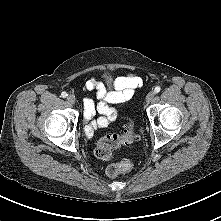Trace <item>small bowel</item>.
Listing matches in <instances>:
<instances>
[{
	"label": "small bowel",
	"mask_w": 221,
	"mask_h": 221,
	"mask_svg": "<svg viewBox=\"0 0 221 221\" xmlns=\"http://www.w3.org/2000/svg\"><path fill=\"white\" fill-rule=\"evenodd\" d=\"M141 84V78L134 73L115 77L111 81V87H107L106 84L97 81L95 78L87 80L85 88L88 91H94L99 100L97 103L90 98H86L84 101V117L87 122L85 133L87 137L92 138L96 129L106 127L114 121L116 110L112 105L131 99ZM97 112L101 116L95 118Z\"/></svg>",
	"instance_id": "1"
}]
</instances>
